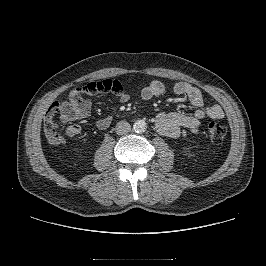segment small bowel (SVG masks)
<instances>
[{
  "label": "small bowel",
  "instance_id": "1",
  "mask_svg": "<svg viewBox=\"0 0 266 266\" xmlns=\"http://www.w3.org/2000/svg\"><path fill=\"white\" fill-rule=\"evenodd\" d=\"M165 86L161 81L154 80L146 85L141 91L143 100H150L153 97L163 94ZM174 94L184 96L193 106L192 114L181 112L160 113L156 116L155 127L157 131L169 138L177 139L187 137L197 133L204 118L222 119L223 110L218 105L205 106L203 96L198 88L187 83L177 82L173 86ZM126 92H121L118 96V104L125 103L129 100ZM51 110L58 114L63 125H66L65 135L68 137H78L81 134V128L78 125H71V122L85 119L91 112V103L82 96H70L67 101L57 102ZM116 114V106H113L108 114L98 119L95 126L98 129L107 128ZM45 134L52 145H59L63 142V136L56 130L48 131L45 128Z\"/></svg>",
  "mask_w": 266,
  "mask_h": 266
}]
</instances>
